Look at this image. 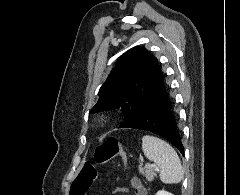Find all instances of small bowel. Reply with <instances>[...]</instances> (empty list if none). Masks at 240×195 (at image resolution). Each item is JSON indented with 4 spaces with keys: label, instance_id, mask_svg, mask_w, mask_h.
Instances as JSON below:
<instances>
[{
    "label": "small bowel",
    "instance_id": "c3829d8e",
    "mask_svg": "<svg viewBox=\"0 0 240 195\" xmlns=\"http://www.w3.org/2000/svg\"><path fill=\"white\" fill-rule=\"evenodd\" d=\"M130 186L132 188L133 195H148L147 189L142 184L141 180L138 177H132L130 179ZM117 192L121 195H127L129 189L125 187H118Z\"/></svg>",
    "mask_w": 240,
    "mask_h": 195
}]
</instances>
